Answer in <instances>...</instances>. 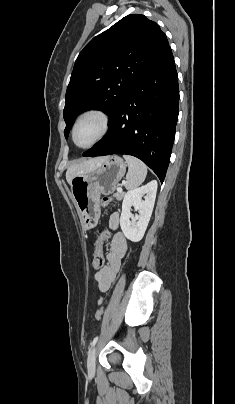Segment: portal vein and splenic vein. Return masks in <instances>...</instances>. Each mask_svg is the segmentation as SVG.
I'll return each instance as SVG.
<instances>
[{
  "label": "portal vein and splenic vein",
  "mask_w": 235,
  "mask_h": 404,
  "mask_svg": "<svg viewBox=\"0 0 235 404\" xmlns=\"http://www.w3.org/2000/svg\"><path fill=\"white\" fill-rule=\"evenodd\" d=\"M117 191H118V192H122V188H121V187H118V188H117Z\"/></svg>",
  "instance_id": "18ae733b"
}]
</instances>
